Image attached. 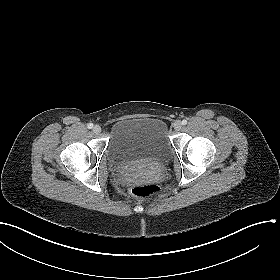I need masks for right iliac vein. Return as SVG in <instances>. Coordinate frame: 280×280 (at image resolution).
I'll return each instance as SVG.
<instances>
[{
  "label": "right iliac vein",
  "mask_w": 280,
  "mask_h": 280,
  "mask_svg": "<svg viewBox=\"0 0 280 280\" xmlns=\"http://www.w3.org/2000/svg\"><path fill=\"white\" fill-rule=\"evenodd\" d=\"M93 132L99 134L101 132V127L99 125H95L93 127Z\"/></svg>",
  "instance_id": "63e3f726"
}]
</instances>
